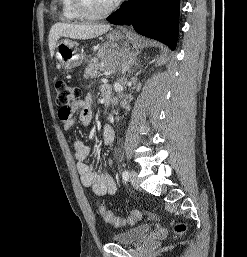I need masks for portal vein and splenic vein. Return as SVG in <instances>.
Listing matches in <instances>:
<instances>
[{"label":"portal vein and splenic vein","instance_id":"1","mask_svg":"<svg viewBox=\"0 0 247 257\" xmlns=\"http://www.w3.org/2000/svg\"><path fill=\"white\" fill-rule=\"evenodd\" d=\"M111 74V72L110 71H105L104 72V75L107 77V76H109Z\"/></svg>","mask_w":247,"mask_h":257}]
</instances>
